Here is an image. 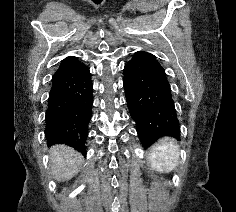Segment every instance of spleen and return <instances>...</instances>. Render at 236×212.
<instances>
[{
	"label": "spleen",
	"instance_id": "obj_1",
	"mask_svg": "<svg viewBox=\"0 0 236 212\" xmlns=\"http://www.w3.org/2000/svg\"><path fill=\"white\" fill-rule=\"evenodd\" d=\"M151 167L158 172H171L179 161V145L168 137L160 139L151 148Z\"/></svg>",
	"mask_w": 236,
	"mask_h": 212
}]
</instances>
